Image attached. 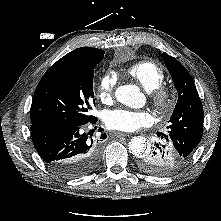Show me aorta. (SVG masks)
Listing matches in <instances>:
<instances>
[{
  "instance_id": "1",
  "label": "aorta",
  "mask_w": 221,
  "mask_h": 221,
  "mask_svg": "<svg viewBox=\"0 0 221 221\" xmlns=\"http://www.w3.org/2000/svg\"><path fill=\"white\" fill-rule=\"evenodd\" d=\"M115 97L120 103L132 108L139 107L144 101L143 94L135 85H123L118 87L115 91ZM128 147L129 151L137 157H142L150 149L147 140L141 136L133 137Z\"/></svg>"
}]
</instances>
